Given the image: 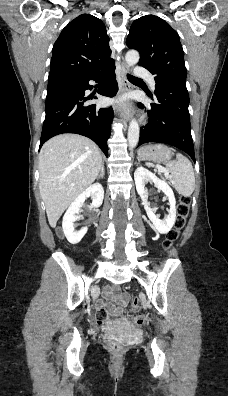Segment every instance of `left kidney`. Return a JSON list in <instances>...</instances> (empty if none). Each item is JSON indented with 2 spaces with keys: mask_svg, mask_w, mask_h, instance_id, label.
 <instances>
[{
  "mask_svg": "<svg viewBox=\"0 0 228 396\" xmlns=\"http://www.w3.org/2000/svg\"><path fill=\"white\" fill-rule=\"evenodd\" d=\"M134 179L136 184V190L141 197L147 216L152 221L158 232H160L161 234L168 233L175 224L176 220V200L173 190L165 181L160 180L153 173L143 167H138L135 170ZM149 181L153 182L155 187L164 192L169 200V214L163 220H160L158 218V216L155 214V210L151 208L149 206V203L147 202L148 193L145 189V184Z\"/></svg>",
  "mask_w": 228,
  "mask_h": 396,
  "instance_id": "left-kidney-1",
  "label": "left kidney"
}]
</instances>
